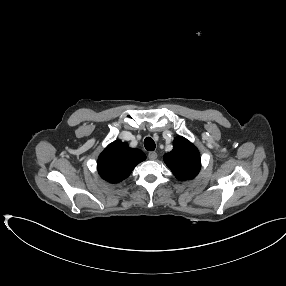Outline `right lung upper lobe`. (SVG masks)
Wrapping results in <instances>:
<instances>
[{
  "mask_svg": "<svg viewBox=\"0 0 286 286\" xmlns=\"http://www.w3.org/2000/svg\"><path fill=\"white\" fill-rule=\"evenodd\" d=\"M146 155L139 149L130 148L126 142L116 140L109 144L98 158L100 176L110 182L118 183L127 178Z\"/></svg>",
  "mask_w": 286,
  "mask_h": 286,
  "instance_id": "right-lung-upper-lobe-1",
  "label": "right lung upper lobe"
}]
</instances>
